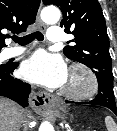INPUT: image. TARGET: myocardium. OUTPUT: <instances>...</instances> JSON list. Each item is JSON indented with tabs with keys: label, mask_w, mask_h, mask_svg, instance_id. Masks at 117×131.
Wrapping results in <instances>:
<instances>
[{
	"label": "myocardium",
	"mask_w": 117,
	"mask_h": 131,
	"mask_svg": "<svg viewBox=\"0 0 117 131\" xmlns=\"http://www.w3.org/2000/svg\"><path fill=\"white\" fill-rule=\"evenodd\" d=\"M69 73H79L83 78V87L73 90L66 87L60 89V94L70 100H86L94 96L98 90V80L94 72L83 64L70 66Z\"/></svg>",
	"instance_id": "1"
}]
</instances>
